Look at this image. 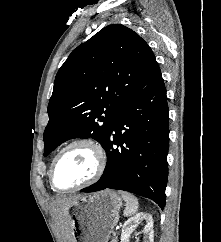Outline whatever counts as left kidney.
Listing matches in <instances>:
<instances>
[{
  "label": "left kidney",
  "instance_id": "obj_1",
  "mask_svg": "<svg viewBox=\"0 0 221 242\" xmlns=\"http://www.w3.org/2000/svg\"><path fill=\"white\" fill-rule=\"evenodd\" d=\"M142 220L146 222L142 231L145 235L144 242H154L153 219L152 216L147 213H138L124 223L121 233V242H129L130 235L135 231L136 226Z\"/></svg>",
  "mask_w": 221,
  "mask_h": 242
}]
</instances>
